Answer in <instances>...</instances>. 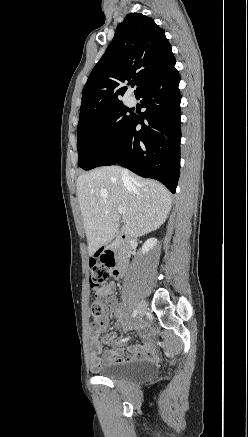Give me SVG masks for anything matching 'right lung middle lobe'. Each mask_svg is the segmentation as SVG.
I'll return each mask as SVG.
<instances>
[{
    "mask_svg": "<svg viewBox=\"0 0 248 437\" xmlns=\"http://www.w3.org/2000/svg\"><path fill=\"white\" fill-rule=\"evenodd\" d=\"M128 112L129 109L120 103L87 118L78 126L77 149L81 168H94V164L111 150L133 116Z\"/></svg>",
    "mask_w": 248,
    "mask_h": 437,
    "instance_id": "1",
    "label": "right lung middle lobe"
}]
</instances>
